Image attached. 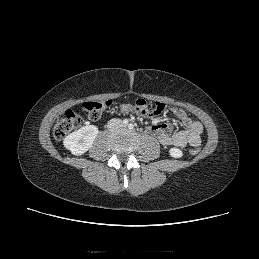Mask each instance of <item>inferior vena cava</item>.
I'll return each mask as SVG.
<instances>
[{"mask_svg":"<svg viewBox=\"0 0 259 259\" xmlns=\"http://www.w3.org/2000/svg\"><path fill=\"white\" fill-rule=\"evenodd\" d=\"M123 126L122 124V121L120 119H111L109 122H108V129L109 130H116L118 128H121Z\"/></svg>","mask_w":259,"mask_h":259,"instance_id":"inferior-vena-cava-1","label":"inferior vena cava"}]
</instances>
